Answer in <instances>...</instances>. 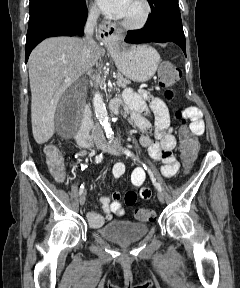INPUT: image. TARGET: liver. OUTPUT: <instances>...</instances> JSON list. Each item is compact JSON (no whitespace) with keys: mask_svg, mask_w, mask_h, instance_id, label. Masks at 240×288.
I'll list each match as a JSON object with an SVG mask.
<instances>
[{"mask_svg":"<svg viewBox=\"0 0 240 288\" xmlns=\"http://www.w3.org/2000/svg\"><path fill=\"white\" fill-rule=\"evenodd\" d=\"M84 40L76 37H53L42 41L28 60L31 89L32 132L38 144L54 134V116L62 94L87 73L82 61ZM102 53L99 45L91 49V68ZM69 78V81L65 79Z\"/></svg>","mask_w":240,"mask_h":288,"instance_id":"6515ba94","label":"liver"}]
</instances>
